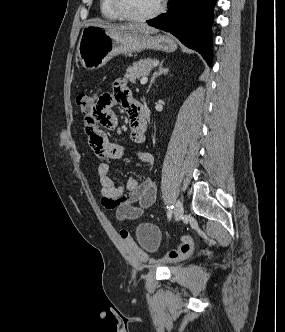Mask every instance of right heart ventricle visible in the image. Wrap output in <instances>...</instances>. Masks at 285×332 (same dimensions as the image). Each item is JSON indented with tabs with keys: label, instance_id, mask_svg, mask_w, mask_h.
<instances>
[{
	"label": "right heart ventricle",
	"instance_id": "obj_1",
	"mask_svg": "<svg viewBox=\"0 0 285 332\" xmlns=\"http://www.w3.org/2000/svg\"><path fill=\"white\" fill-rule=\"evenodd\" d=\"M100 12L104 19L120 21L123 18L114 10L111 0H100Z\"/></svg>",
	"mask_w": 285,
	"mask_h": 332
}]
</instances>
